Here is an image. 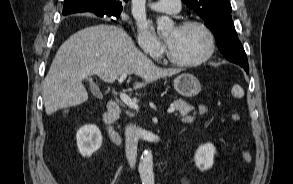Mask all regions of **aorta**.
I'll list each match as a JSON object with an SVG mask.
<instances>
[{
  "label": "aorta",
  "mask_w": 293,
  "mask_h": 184,
  "mask_svg": "<svg viewBox=\"0 0 293 184\" xmlns=\"http://www.w3.org/2000/svg\"><path fill=\"white\" fill-rule=\"evenodd\" d=\"M174 23L171 19L162 16L157 19V30L159 32H166L172 29ZM139 173L142 180V184H154L153 175V156L151 151H145L140 159Z\"/></svg>",
  "instance_id": "762f6f07"
}]
</instances>
